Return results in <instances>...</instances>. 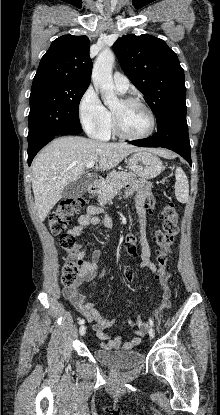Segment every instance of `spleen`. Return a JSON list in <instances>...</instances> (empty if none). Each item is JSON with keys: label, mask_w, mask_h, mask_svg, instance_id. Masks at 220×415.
<instances>
[{"label": "spleen", "mask_w": 220, "mask_h": 415, "mask_svg": "<svg viewBox=\"0 0 220 415\" xmlns=\"http://www.w3.org/2000/svg\"><path fill=\"white\" fill-rule=\"evenodd\" d=\"M175 195L179 202L186 203L189 198V182L186 174L181 167L175 171Z\"/></svg>", "instance_id": "3e777b00"}]
</instances>
